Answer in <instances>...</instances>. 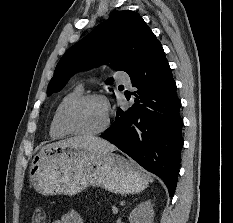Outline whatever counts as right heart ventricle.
Returning a JSON list of instances; mask_svg holds the SVG:
<instances>
[{"label":"right heart ventricle","mask_w":233,"mask_h":223,"mask_svg":"<svg viewBox=\"0 0 233 223\" xmlns=\"http://www.w3.org/2000/svg\"><path fill=\"white\" fill-rule=\"evenodd\" d=\"M83 94V87L81 85L75 86L66 92L57 103L49 125V135L52 139H62L70 134L61 125V114L66 105L73 99Z\"/></svg>","instance_id":"e07e8e85"}]
</instances>
